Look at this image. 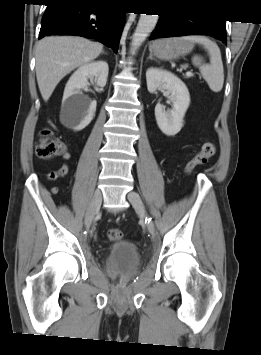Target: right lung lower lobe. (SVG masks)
<instances>
[{
  "instance_id": "1",
  "label": "right lung lower lobe",
  "mask_w": 261,
  "mask_h": 355,
  "mask_svg": "<svg viewBox=\"0 0 261 355\" xmlns=\"http://www.w3.org/2000/svg\"><path fill=\"white\" fill-rule=\"evenodd\" d=\"M106 5L89 0H47L39 38L49 35L95 38L117 53L125 12Z\"/></svg>"
}]
</instances>
